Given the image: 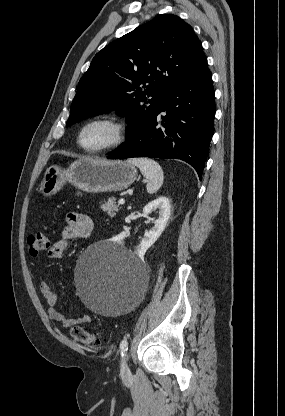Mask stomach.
Here are the masks:
<instances>
[{
  "label": "stomach",
  "mask_w": 285,
  "mask_h": 416,
  "mask_svg": "<svg viewBox=\"0 0 285 416\" xmlns=\"http://www.w3.org/2000/svg\"><path fill=\"white\" fill-rule=\"evenodd\" d=\"M137 178V170L132 164L122 160L105 158H82L70 164L67 170L50 166L40 184L43 196H54L65 184H72L82 192H121L126 190Z\"/></svg>",
  "instance_id": "1"
}]
</instances>
